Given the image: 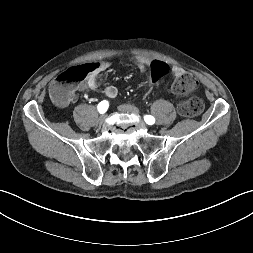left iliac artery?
I'll use <instances>...</instances> for the list:
<instances>
[{
	"instance_id": "1",
	"label": "left iliac artery",
	"mask_w": 253,
	"mask_h": 253,
	"mask_svg": "<svg viewBox=\"0 0 253 253\" xmlns=\"http://www.w3.org/2000/svg\"><path fill=\"white\" fill-rule=\"evenodd\" d=\"M144 120L147 124L152 125L155 123V118L151 115H145Z\"/></svg>"
}]
</instances>
